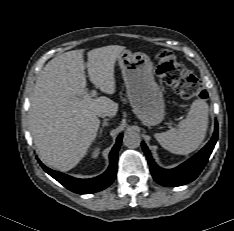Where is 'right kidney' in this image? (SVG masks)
I'll return each mask as SVG.
<instances>
[{
    "mask_svg": "<svg viewBox=\"0 0 234 231\" xmlns=\"http://www.w3.org/2000/svg\"><path fill=\"white\" fill-rule=\"evenodd\" d=\"M99 151H100V148H98V147L94 148V150L92 152V158L96 159L99 155Z\"/></svg>",
    "mask_w": 234,
    "mask_h": 231,
    "instance_id": "1",
    "label": "right kidney"
}]
</instances>
